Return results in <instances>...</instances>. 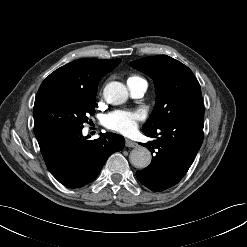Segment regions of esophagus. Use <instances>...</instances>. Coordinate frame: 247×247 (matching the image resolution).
I'll return each instance as SVG.
<instances>
[{
	"instance_id": "34e87169",
	"label": "esophagus",
	"mask_w": 247,
	"mask_h": 247,
	"mask_svg": "<svg viewBox=\"0 0 247 247\" xmlns=\"http://www.w3.org/2000/svg\"><path fill=\"white\" fill-rule=\"evenodd\" d=\"M126 147L136 148L138 147V144L130 139L125 140Z\"/></svg>"
}]
</instances>
